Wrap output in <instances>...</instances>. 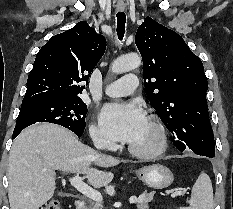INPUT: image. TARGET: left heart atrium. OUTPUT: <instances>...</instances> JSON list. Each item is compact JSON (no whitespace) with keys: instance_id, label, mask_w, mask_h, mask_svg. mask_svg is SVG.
Here are the masks:
<instances>
[{"instance_id":"39dd6f15","label":"left heart atrium","mask_w":233,"mask_h":209,"mask_svg":"<svg viewBox=\"0 0 233 209\" xmlns=\"http://www.w3.org/2000/svg\"><path fill=\"white\" fill-rule=\"evenodd\" d=\"M147 119L137 103H110L100 113V124L112 138L131 143L140 134Z\"/></svg>"}]
</instances>
